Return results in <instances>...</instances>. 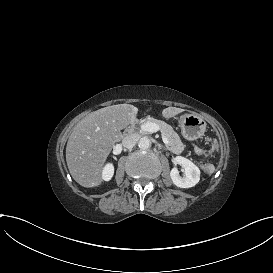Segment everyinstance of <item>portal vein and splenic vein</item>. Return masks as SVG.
I'll use <instances>...</instances> for the list:
<instances>
[{"label": "portal vein and splenic vein", "mask_w": 273, "mask_h": 273, "mask_svg": "<svg viewBox=\"0 0 273 273\" xmlns=\"http://www.w3.org/2000/svg\"><path fill=\"white\" fill-rule=\"evenodd\" d=\"M158 129H159L158 125L155 124V123H152V122H146V123L142 124L141 127H140L141 131H145V132H148V133H154V132L158 131ZM161 139L163 140V142L165 144H168V140L165 139L163 134L161 136Z\"/></svg>", "instance_id": "18ae733b"}]
</instances>
